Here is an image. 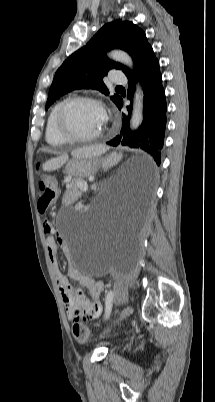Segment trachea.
<instances>
[{
    "label": "trachea",
    "instance_id": "trachea-1",
    "mask_svg": "<svg viewBox=\"0 0 215 402\" xmlns=\"http://www.w3.org/2000/svg\"><path fill=\"white\" fill-rule=\"evenodd\" d=\"M117 88H122L121 86H117Z\"/></svg>",
    "mask_w": 215,
    "mask_h": 402
}]
</instances>
